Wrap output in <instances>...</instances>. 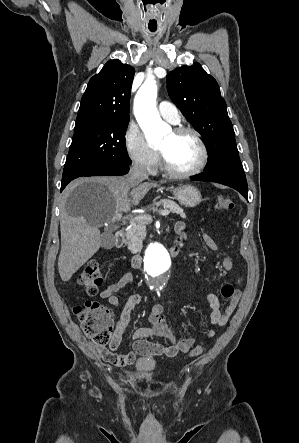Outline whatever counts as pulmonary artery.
<instances>
[{"label":"pulmonary artery","mask_w":299,"mask_h":443,"mask_svg":"<svg viewBox=\"0 0 299 443\" xmlns=\"http://www.w3.org/2000/svg\"><path fill=\"white\" fill-rule=\"evenodd\" d=\"M160 115L172 124L179 122V112L176 106L168 101H162L158 105Z\"/></svg>","instance_id":"pulmonary-artery-1"}]
</instances>
